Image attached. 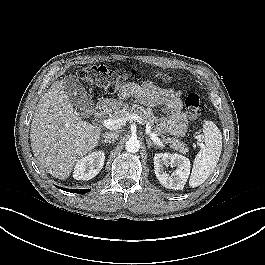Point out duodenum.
Masks as SVG:
<instances>
[{
	"label": "duodenum",
	"instance_id": "duodenum-1",
	"mask_svg": "<svg viewBox=\"0 0 265 265\" xmlns=\"http://www.w3.org/2000/svg\"><path fill=\"white\" fill-rule=\"evenodd\" d=\"M109 108V104L108 102H101L99 103L93 111V118L94 119H99L100 117H102L108 110Z\"/></svg>",
	"mask_w": 265,
	"mask_h": 265
}]
</instances>
